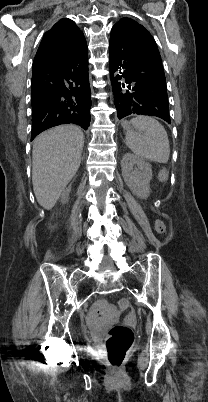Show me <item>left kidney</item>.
<instances>
[{
	"mask_svg": "<svg viewBox=\"0 0 208 402\" xmlns=\"http://www.w3.org/2000/svg\"><path fill=\"white\" fill-rule=\"evenodd\" d=\"M137 166V168H134ZM122 176L126 186L130 188L137 198H148L150 194V180H152V170L150 164L134 156V154H124L121 160Z\"/></svg>",
	"mask_w": 208,
	"mask_h": 402,
	"instance_id": "5707ae66",
	"label": "left kidney"
}]
</instances>
